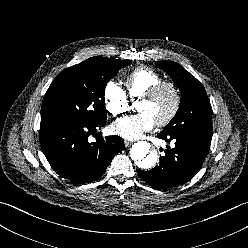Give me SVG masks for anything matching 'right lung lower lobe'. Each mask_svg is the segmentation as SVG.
Listing matches in <instances>:
<instances>
[{
    "mask_svg": "<svg viewBox=\"0 0 248 248\" xmlns=\"http://www.w3.org/2000/svg\"><path fill=\"white\" fill-rule=\"evenodd\" d=\"M106 122H85L63 118L41 119L39 139L41 148L53 168L63 178L75 183H87L104 174L113 157L124 150L119 136L103 138L95 142L88 136Z\"/></svg>",
    "mask_w": 248,
    "mask_h": 248,
    "instance_id": "obj_1",
    "label": "right lung lower lobe"
}]
</instances>
